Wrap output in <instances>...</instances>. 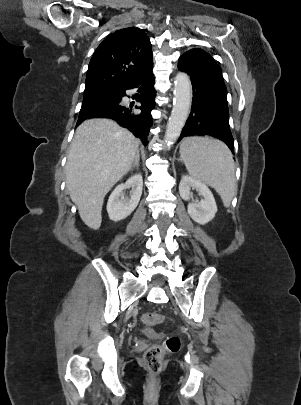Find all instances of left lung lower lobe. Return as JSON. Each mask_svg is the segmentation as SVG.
<instances>
[{
	"mask_svg": "<svg viewBox=\"0 0 301 405\" xmlns=\"http://www.w3.org/2000/svg\"><path fill=\"white\" fill-rule=\"evenodd\" d=\"M178 68L189 74L194 96L179 141L188 136H211L224 141L234 154L227 89L220 68L213 59L196 53L181 55Z\"/></svg>",
	"mask_w": 301,
	"mask_h": 405,
	"instance_id": "obj_1",
	"label": "left lung lower lobe"
}]
</instances>
